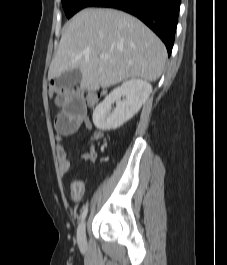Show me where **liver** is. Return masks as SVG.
<instances>
[{
    "label": "liver",
    "instance_id": "liver-1",
    "mask_svg": "<svg viewBox=\"0 0 227 265\" xmlns=\"http://www.w3.org/2000/svg\"><path fill=\"white\" fill-rule=\"evenodd\" d=\"M101 53L108 58L100 59ZM166 59L163 42L137 18L113 9H84L64 26L48 80L78 68L80 87L87 91L129 78L155 82Z\"/></svg>",
    "mask_w": 227,
    "mask_h": 265
}]
</instances>
